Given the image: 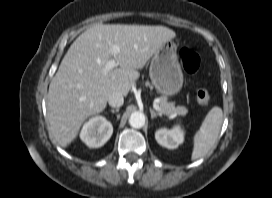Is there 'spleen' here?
Wrapping results in <instances>:
<instances>
[{
  "mask_svg": "<svg viewBox=\"0 0 272 198\" xmlns=\"http://www.w3.org/2000/svg\"><path fill=\"white\" fill-rule=\"evenodd\" d=\"M223 122V112L220 107H213L206 115L200 129L194 135L191 160L205 156L214 146Z\"/></svg>",
  "mask_w": 272,
  "mask_h": 198,
  "instance_id": "1",
  "label": "spleen"
}]
</instances>
